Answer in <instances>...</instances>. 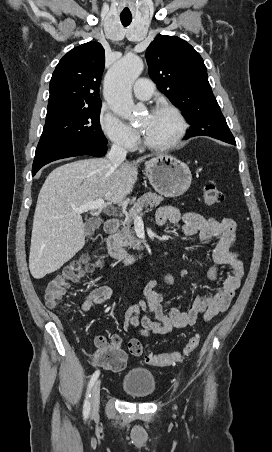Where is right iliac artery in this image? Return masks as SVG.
<instances>
[{
	"instance_id": "1",
	"label": "right iliac artery",
	"mask_w": 272,
	"mask_h": 452,
	"mask_svg": "<svg viewBox=\"0 0 272 452\" xmlns=\"http://www.w3.org/2000/svg\"><path fill=\"white\" fill-rule=\"evenodd\" d=\"M99 374H100L99 370L95 371L93 373L91 379H90L89 384H88L87 393H86V399H85L84 406H83V415H84L85 418L88 417L89 412H90V401H89V398L91 396L90 392H91V389H92L95 381L99 377Z\"/></svg>"
}]
</instances>
